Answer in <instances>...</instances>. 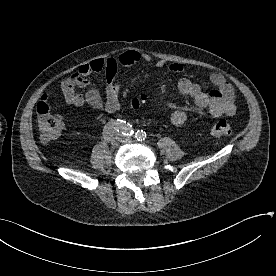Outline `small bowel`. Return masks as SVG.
<instances>
[{
	"mask_svg": "<svg viewBox=\"0 0 276 276\" xmlns=\"http://www.w3.org/2000/svg\"><path fill=\"white\" fill-rule=\"evenodd\" d=\"M152 57L147 53H140L134 50L122 52L118 57H108L94 59L81 65L78 70L64 79L61 83V90L67 104L74 107H90L113 113L120 107L119 88L114 84L115 76L120 66L129 67L140 62H151ZM168 67L174 72H183L184 68L180 64H170L162 60L156 62L157 68ZM97 73H104L106 78L105 96L102 97L100 92L90 86L88 76ZM211 83L216 87L210 92H205L202 86L191 81L188 78H181L177 83L178 90L181 94L190 97L194 104L199 108H206L211 115L215 117L233 116L236 113L235 92L233 87L220 73L210 75ZM80 89H84L82 94ZM43 101L48 103V96L42 97ZM188 118L185 110H175L171 114V122L176 126L183 125Z\"/></svg>",
	"mask_w": 276,
	"mask_h": 276,
	"instance_id": "small-bowel-1",
	"label": "small bowel"
}]
</instances>
